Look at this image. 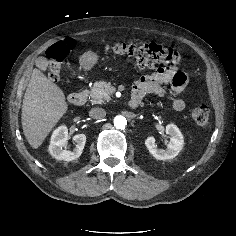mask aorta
Returning a JSON list of instances; mask_svg holds the SVG:
<instances>
[{
    "label": "aorta",
    "instance_id": "1",
    "mask_svg": "<svg viewBox=\"0 0 236 236\" xmlns=\"http://www.w3.org/2000/svg\"><path fill=\"white\" fill-rule=\"evenodd\" d=\"M126 125H127V120L124 116L120 115L114 118V126L117 129H124Z\"/></svg>",
    "mask_w": 236,
    "mask_h": 236
}]
</instances>
